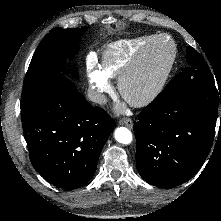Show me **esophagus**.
I'll use <instances>...</instances> for the list:
<instances>
[{
    "instance_id": "esophagus-1",
    "label": "esophagus",
    "mask_w": 221,
    "mask_h": 221,
    "mask_svg": "<svg viewBox=\"0 0 221 221\" xmlns=\"http://www.w3.org/2000/svg\"><path fill=\"white\" fill-rule=\"evenodd\" d=\"M120 125H125L128 128H132L133 126V121L130 118H123L119 121Z\"/></svg>"
}]
</instances>
